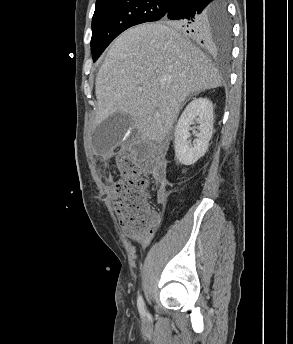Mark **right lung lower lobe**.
<instances>
[{
  "mask_svg": "<svg viewBox=\"0 0 293 344\" xmlns=\"http://www.w3.org/2000/svg\"><path fill=\"white\" fill-rule=\"evenodd\" d=\"M218 0H173L165 20L180 23V29L200 44H211L208 20Z\"/></svg>",
  "mask_w": 293,
  "mask_h": 344,
  "instance_id": "obj_1",
  "label": "right lung lower lobe"
}]
</instances>
